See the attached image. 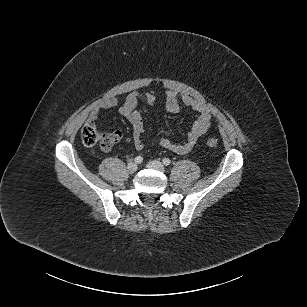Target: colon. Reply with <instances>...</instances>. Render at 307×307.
Here are the masks:
<instances>
[{
	"mask_svg": "<svg viewBox=\"0 0 307 307\" xmlns=\"http://www.w3.org/2000/svg\"><path fill=\"white\" fill-rule=\"evenodd\" d=\"M81 138L86 146L99 144L103 151H108L120 140L121 134L119 132L101 133L94 123L87 122L82 128ZM207 145L216 147L218 140L213 137L209 138Z\"/></svg>",
	"mask_w": 307,
	"mask_h": 307,
	"instance_id": "5ec220e1",
	"label": "colon"
}]
</instances>
